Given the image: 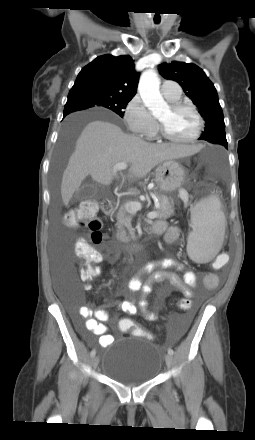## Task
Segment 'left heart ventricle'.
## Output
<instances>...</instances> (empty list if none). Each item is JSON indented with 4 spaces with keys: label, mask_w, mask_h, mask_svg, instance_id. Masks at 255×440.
Masks as SVG:
<instances>
[{
    "label": "left heart ventricle",
    "mask_w": 255,
    "mask_h": 440,
    "mask_svg": "<svg viewBox=\"0 0 255 440\" xmlns=\"http://www.w3.org/2000/svg\"><path fill=\"white\" fill-rule=\"evenodd\" d=\"M158 120L163 123L170 135L177 139L190 138L198 126L195 115L188 109L172 111L169 107L158 116Z\"/></svg>",
    "instance_id": "left-heart-ventricle-1"
}]
</instances>
